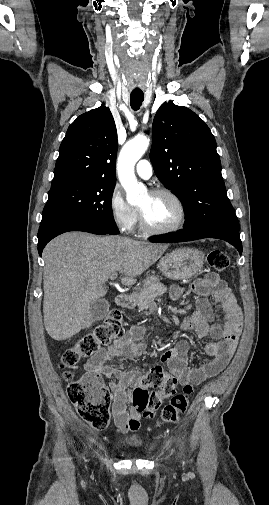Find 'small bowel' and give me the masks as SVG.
<instances>
[{"label": "small bowel", "mask_w": 269, "mask_h": 505, "mask_svg": "<svg viewBox=\"0 0 269 505\" xmlns=\"http://www.w3.org/2000/svg\"><path fill=\"white\" fill-rule=\"evenodd\" d=\"M190 289L198 295L199 299L195 310L185 316L183 326L185 329L193 328L199 338L207 335L212 338L204 345V352L212 359L199 367H189L187 363L189 344L185 340L166 351L161 361L167 364L170 374L181 385H199L221 372L232 357L242 329L241 309L232 291L217 273H207L203 278L194 281ZM180 293L181 290L178 287L172 289L173 297H178ZM207 297H212L221 305L224 315L223 324L215 321ZM142 332L141 326H133L122 337L85 363L87 374L117 379L116 382H110L113 393L112 411L114 423L122 433L135 432L140 428L141 413L130 406L128 390L135 387L142 376L138 371L122 372L116 366L107 363L114 356L124 355L129 358L141 356L145 348L142 343L136 342L135 338Z\"/></svg>", "instance_id": "c3829d8e"}]
</instances>
